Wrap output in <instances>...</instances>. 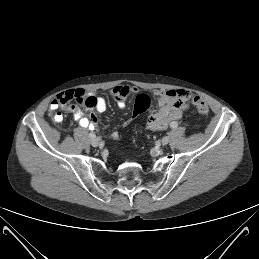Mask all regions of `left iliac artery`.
Wrapping results in <instances>:
<instances>
[{
  "mask_svg": "<svg viewBox=\"0 0 259 259\" xmlns=\"http://www.w3.org/2000/svg\"><path fill=\"white\" fill-rule=\"evenodd\" d=\"M170 127L171 128H177L178 127V124H177V122H172L171 124H170Z\"/></svg>",
  "mask_w": 259,
  "mask_h": 259,
  "instance_id": "44dca946",
  "label": "left iliac artery"
}]
</instances>
